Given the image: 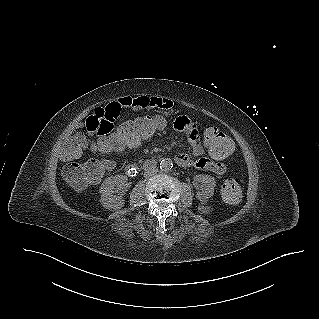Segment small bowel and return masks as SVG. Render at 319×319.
Here are the masks:
<instances>
[{
  "instance_id": "1",
  "label": "small bowel",
  "mask_w": 319,
  "mask_h": 319,
  "mask_svg": "<svg viewBox=\"0 0 319 319\" xmlns=\"http://www.w3.org/2000/svg\"><path fill=\"white\" fill-rule=\"evenodd\" d=\"M171 107L172 102L169 99L158 97L106 99L104 104L96 107L94 114L85 118L83 123L76 124L74 131L84 127L90 137L98 138L111 134L115 130L116 121L123 117L127 108L140 110L146 108L170 109ZM171 127L178 135L187 136L194 156L190 158L185 153L176 154L175 159L179 165L209 170L218 175L226 172V166L223 163L204 156L205 147L197 131V122L191 121L190 115H174ZM217 167L219 169H216Z\"/></svg>"
}]
</instances>
